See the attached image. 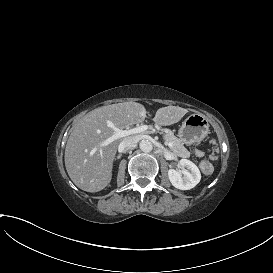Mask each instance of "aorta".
Returning <instances> with one entry per match:
<instances>
[{
    "label": "aorta",
    "mask_w": 273,
    "mask_h": 273,
    "mask_svg": "<svg viewBox=\"0 0 273 273\" xmlns=\"http://www.w3.org/2000/svg\"><path fill=\"white\" fill-rule=\"evenodd\" d=\"M139 147H140L141 151H143L145 153H149L153 149L152 143L148 140H142L139 144Z\"/></svg>",
    "instance_id": "aorta-1"
}]
</instances>
